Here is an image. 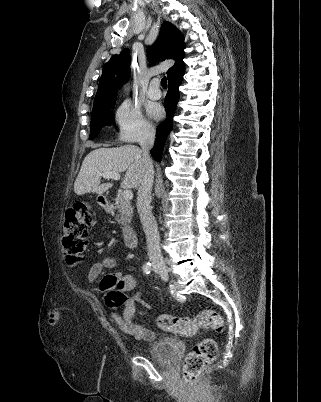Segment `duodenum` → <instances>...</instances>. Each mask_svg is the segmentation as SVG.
<instances>
[{
  "instance_id": "duodenum-1",
  "label": "duodenum",
  "mask_w": 321,
  "mask_h": 402,
  "mask_svg": "<svg viewBox=\"0 0 321 402\" xmlns=\"http://www.w3.org/2000/svg\"><path fill=\"white\" fill-rule=\"evenodd\" d=\"M99 203L104 208H110V202L105 197H99ZM122 239L124 244L129 248H135L138 245L137 233L130 227H124L122 229Z\"/></svg>"
}]
</instances>
